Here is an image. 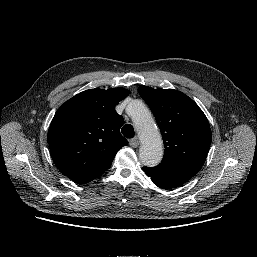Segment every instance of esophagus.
Returning a JSON list of instances; mask_svg holds the SVG:
<instances>
[{"mask_svg": "<svg viewBox=\"0 0 257 257\" xmlns=\"http://www.w3.org/2000/svg\"><path fill=\"white\" fill-rule=\"evenodd\" d=\"M129 144L131 147L136 148L139 145L138 138L135 137L129 141Z\"/></svg>", "mask_w": 257, "mask_h": 257, "instance_id": "obj_1", "label": "esophagus"}]
</instances>
